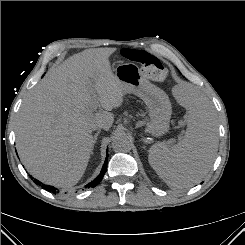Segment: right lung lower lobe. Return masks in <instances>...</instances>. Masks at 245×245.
Here are the masks:
<instances>
[{"instance_id":"obj_1","label":"right lung lower lobe","mask_w":245,"mask_h":245,"mask_svg":"<svg viewBox=\"0 0 245 245\" xmlns=\"http://www.w3.org/2000/svg\"><path fill=\"white\" fill-rule=\"evenodd\" d=\"M107 161H108V154H107V157H106V160L104 162V165L102 167V170H101V173L97 176L96 179H94L92 182H90L89 184L86 185V187H95L96 185H98L100 183V181L102 180L105 172H106V168H107ZM36 183L41 185V182L36 180ZM42 188L46 189L47 191H53V192H56V189L53 187V186H50V185H45V184H42Z\"/></svg>"}]
</instances>
